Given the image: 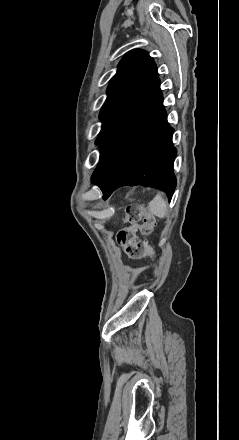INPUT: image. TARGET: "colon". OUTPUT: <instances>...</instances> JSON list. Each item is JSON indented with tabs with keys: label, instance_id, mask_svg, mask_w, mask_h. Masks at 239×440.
Instances as JSON below:
<instances>
[{
	"label": "colon",
	"instance_id": "1",
	"mask_svg": "<svg viewBox=\"0 0 239 440\" xmlns=\"http://www.w3.org/2000/svg\"><path fill=\"white\" fill-rule=\"evenodd\" d=\"M125 221L130 223V226L120 230L117 234V241L121 245L130 244V256L140 258L144 256H151L155 258V252L147 241L134 242L136 233L142 235H149L154 226V217L142 205L133 204L126 210Z\"/></svg>",
	"mask_w": 239,
	"mask_h": 440
}]
</instances>
